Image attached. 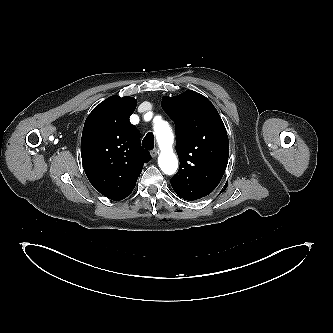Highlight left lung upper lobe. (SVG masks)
I'll use <instances>...</instances> for the list:
<instances>
[{"mask_svg":"<svg viewBox=\"0 0 333 333\" xmlns=\"http://www.w3.org/2000/svg\"><path fill=\"white\" fill-rule=\"evenodd\" d=\"M161 105L176 125L180 168L170 183L180 198L205 197L217 187L227 167L229 142L224 123L213 104L191 90L165 96Z\"/></svg>","mask_w":333,"mask_h":333,"instance_id":"obj_1","label":"left lung upper lobe"}]
</instances>
